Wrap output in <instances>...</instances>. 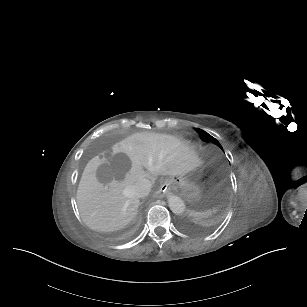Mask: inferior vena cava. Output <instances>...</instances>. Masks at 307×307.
Instances as JSON below:
<instances>
[{
    "mask_svg": "<svg viewBox=\"0 0 307 307\" xmlns=\"http://www.w3.org/2000/svg\"><path fill=\"white\" fill-rule=\"evenodd\" d=\"M152 184L150 180L143 178L138 180L132 187L135 195L137 197H146L150 190H151Z\"/></svg>",
    "mask_w": 307,
    "mask_h": 307,
    "instance_id": "1",
    "label": "inferior vena cava"
}]
</instances>
